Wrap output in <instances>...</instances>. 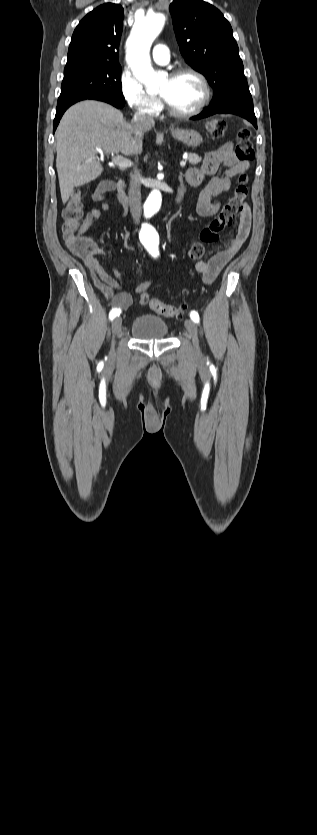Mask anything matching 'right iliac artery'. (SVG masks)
<instances>
[{
	"instance_id": "obj_1",
	"label": "right iliac artery",
	"mask_w": 317,
	"mask_h": 835,
	"mask_svg": "<svg viewBox=\"0 0 317 835\" xmlns=\"http://www.w3.org/2000/svg\"><path fill=\"white\" fill-rule=\"evenodd\" d=\"M120 313H121V310H120V309H118V308H112V310H111V311H110V313H109V318H110V320L114 319L116 316H119V315H120Z\"/></svg>"
}]
</instances>
